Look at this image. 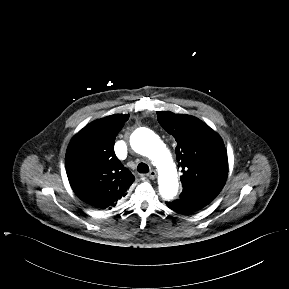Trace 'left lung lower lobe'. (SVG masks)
<instances>
[{
    "label": "left lung lower lobe",
    "instance_id": "obj_1",
    "mask_svg": "<svg viewBox=\"0 0 289 289\" xmlns=\"http://www.w3.org/2000/svg\"><path fill=\"white\" fill-rule=\"evenodd\" d=\"M166 205L177 213L187 214L197 212L207 204L195 200L180 198L172 202H167Z\"/></svg>",
    "mask_w": 289,
    "mask_h": 289
}]
</instances>
